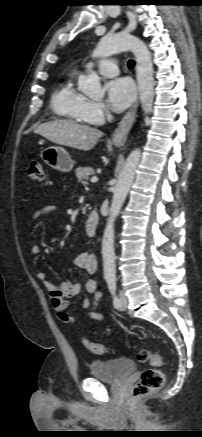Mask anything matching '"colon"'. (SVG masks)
<instances>
[{
    "mask_svg": "<svg viewBox=\"0 0 202 437\" xmlns=\"http://www.w3.org/2000/svg\"><path fill=\"white\" fill-rule=\"evenodd\" d=\"M29 176L33 180L41 181L44 178L43 165L38 160H32L29 165ZM83 345L90 352L102 355L107 352L104 344L95 343L88 339H83ZM137 358L142 363H148L154 368L145 370L139 381L133 387V397L140 398L160 390L165 382V373L160 367L163 359L159 353L142 349L138 352Z\"/></svg>",
    "mask_w": 202,
    "mask_h": 437,
    "instance_id": "obj_1",
    "label": "colon"
}]
</instances>
